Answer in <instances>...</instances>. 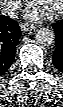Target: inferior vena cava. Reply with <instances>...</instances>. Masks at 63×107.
Segmentation results:
<instances>
[{"label": "inferior vena cava", "instance_id": "obj_1", "mask_svg": "<svg viewBox=\"0 0 63 107\" xmlns=\"http://www.w3.org/2000/svg\"><path fill=\"white\" fill-rule=\"evenodd\" d=\"M20 8L21 4L18 1L8 0L1 2V13L10 18H16Z\"/></svg>", "mask_w": 63, "mask_h": 107}]
</instances>
